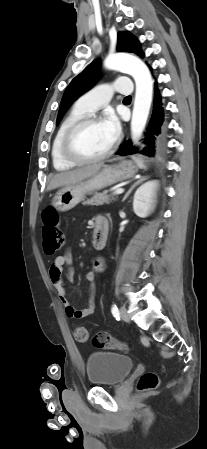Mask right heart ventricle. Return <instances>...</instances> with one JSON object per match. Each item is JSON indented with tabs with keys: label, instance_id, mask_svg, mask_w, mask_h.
<instances>
[{
	"label": "right heart ventricle",
	"instance_id": "right-heart-ventricle-1",
	"mask_svg": "<svg viewBox=\"0 0 207 449\" xmlns=\"http://www.w3.org/2000/svg\"><path fill=\"white\" fill-rule=\"evenodd\" d=\"M87 113L81 111L76 106L70 111V113L64 118L60 124L52 142L51 146V157L52 163L56 170L62 171L73 167L75 164L68 162L61 153V141L65 131L68 127L77 121L78 119L85 117Z\"/></svg>",
	"mask_w": 207,
	"mask_h": 449
}]
</instances>
